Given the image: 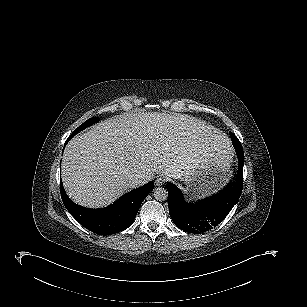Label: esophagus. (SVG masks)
<instances>
[{"label": "esophagus", "mask_w": 307, "mask_h": 307, "mask_svg": "<svg viewBox=\"0 0 307 307\" xmlns=\"http://www.w3.org/2000/svg\"><path fill=\"white\" fill-rule=\"evenodd\" d=\"M166 181V178L165 177H159L157 178V180L155 181V185L156 186H161L165 183Z\"/></svg>", "instance_id": "1"}]
</instances>
